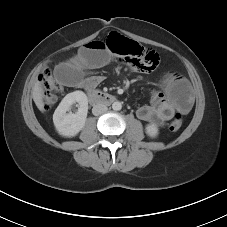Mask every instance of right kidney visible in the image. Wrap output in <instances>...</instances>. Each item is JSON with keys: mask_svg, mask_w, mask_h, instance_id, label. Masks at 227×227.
<instances>
[{"mask_svg": "<svg viewBox=\"0 0 227 227\" xmlns=\"http://www.w3.org/2000/svg\"><path fill=\"white\" fill-rule=\"evenodd\" d=\"M78 103L76 113H66L71 106ZM88 113V99L84 92L75 91L67 94L53 114V122L57 132L64 137L76 136L85 126Z\"/></svg>", "mask_w": 227, "mask_h": 227, "instance_id": "1", "label": "right kidney"}]
</instances>
